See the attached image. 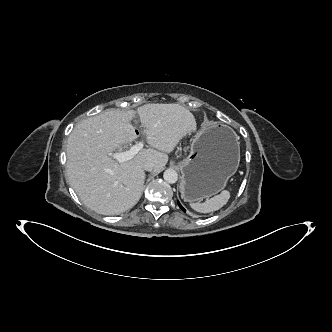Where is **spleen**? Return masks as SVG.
<instances>
[{"label": "spleen", "mask_w": 332, "mask_h": 332, "mask_svg": "<svg viewBox=\"0 0 332 332\" xmlns=\"http://www.w3.org/2000/svg\"><path fill=\"white\" fill-rule=\"evenodd\" d=\"M230 192L223 190L219 195L206 200L203 203H191L190 206L200 213H211L222 208L229 200Z\"/></svg>", "instance_id": "obj_1"}]
</instances>
